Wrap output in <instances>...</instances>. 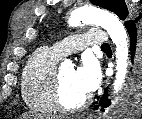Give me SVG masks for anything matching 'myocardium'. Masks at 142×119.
I'll list each match as a JSON object with an SVG mask.
<instances>
[{
    "label": "myocardium",
    "instance_id": "f54148a6",
    "mask_svg": "<svg viewBox=\"0 0 142 119\" xmlns=\"http://www.w3.org/2000/svg\"><path fill=\"white\" fill-rule=\"evenodd\" d=\"M52 100H53L54 108L56 110L63 112V113H74V112L81 111L84 108H86L89 105L91 98L87 96L81 102L73 106H68L64 104L62 100V96H61L60 72H56L53 78V83H52Z\"/></svg>",
    "mask_w": 142,
    "mask_h": 119
}]
</instances>
